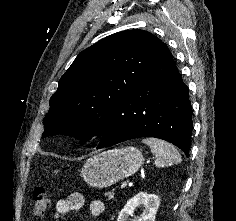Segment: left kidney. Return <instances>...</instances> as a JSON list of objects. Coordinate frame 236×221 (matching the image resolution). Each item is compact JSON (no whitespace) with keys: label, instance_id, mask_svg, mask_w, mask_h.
<instances>
[{"label":"left kidney","instance_id":"5707ae66","mask_svg":"<svg viewBox=\"0 0 236 221\" xmlns=\"http://www.w3.org/2000/svg\"><path fill=\"white\" fill-rule=\"evenodd\" d=\"M160 205V199L155 194L139 192L132 197L119 213L117 221H127L132 216L136 208L143 206V212L133 221H155V215Z\"/></svg>","mask_w":236,"mask_h":221}]
</instances>
